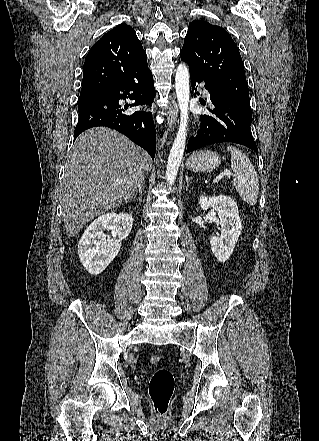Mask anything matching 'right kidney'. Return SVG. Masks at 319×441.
<instances>
[{"label":"right kidney","mask_w":319,"mask_h":441,"mask_svg":"<svg viewBox=\"0 0 319 441\" xmlns=\"http://www.w3.org/2000/svg\"><path fill=\"white\" fill-rule=\"evenodd\" d=\"M133 225L129 214L110 212L95 219L84 231L79 244L78 254L88 273L98 275L114 260ZM105 230H112L117 236L107 240Z\"/></svg>","instance_id":"1"}]
</instances>
